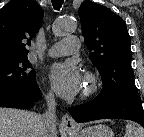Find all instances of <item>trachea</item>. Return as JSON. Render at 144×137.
<instances>
[{
  "mask_svg": "<svg viewBox=\"0 0 144 137\" xmlns=\"http://www.w3.org/2000/svg\"><path fill=\"white\" fill-rule=\"evenodd\" d=\"M63 4V0H52L54 9L59 10Z\"/></svg>",
  "mask_w": 144,
  "mask_h": 137,
  "instance_id": "trachea-1",
  "label": "trachea"
}]
</instances>
